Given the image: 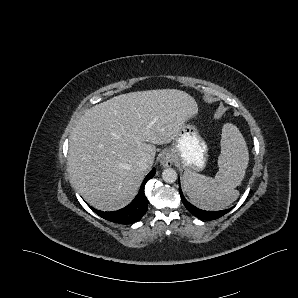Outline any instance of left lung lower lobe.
Returning <instances> with one entry per match:
<instances>
[{"mask_svg":"<svg viewBox=\"0 0 298 298\" xmlns=\"http://www.w3.org/2000/svg\"><path fill=\"white\" fill-rule=\"evenodd\" d=\"M179 193L181 196V200L185 207L196 217L203 220H214L222 217L226 213H228L230 210H232L234 207L222 211H204L201 209L196 208L192 204H190L183 196L181 188H179Z\"/></svg>","mask_w":298,"mask_h":298,"instance_id":"left-lung-lower-lobe-1","label":"left lung lower lobe"}]
</instances>
